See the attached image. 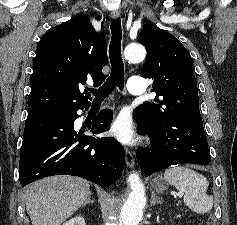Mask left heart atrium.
<instances>
[{"label":"left heart atrium","instance_id":"obj_1","mask_svg":"<svg viewBox=\"0 0 237 225\" xmlns=\"http://www.w3.org/2000/svg\"><path fill=\"white\" fill-rule=\"evenodd\" d=\"M110 133L123 143H132L134 135L131 120L128 115H120L112 124Z\"/></svg>","mask_w":237,"mask_h":225}]
</instances>
